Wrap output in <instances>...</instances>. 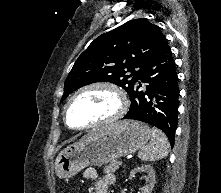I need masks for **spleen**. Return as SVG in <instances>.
Wrapping results in <instances>:
<instances>
[{"label":"spleen","mask_w":221,"mask_h":193,"mask_svg":"<svg viewBox=\"0 0 221 193\" xmlns=\"http://www.w3.org/2000/svg\"><path fill=\"white\" fill-rule=\"evenodd\" d=\"M169 141L166 135L157 128L151 129V141L138 153L142 161H156L166 157L169 153Z\"/></svg>","instance_id":"1"}]
</instances>
